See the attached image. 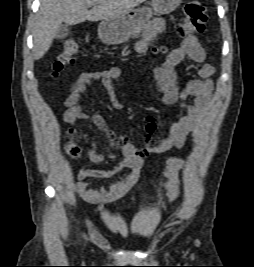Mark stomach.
Returning <instances> with one entry per match:
<instances>
[{
    "instance_id": "stomach-1",
    "label": "stomach",
    "mask_w": 254,
    "mask_h": 267,
    "mask_svg": "<svg viewBox=\"0 0 254 267\" xmlns=\"http://www.w3.org/2000/svg\"><path fill=\"white\" fill-rule=\"evenodd\" d=\"M182 0H152L150 7L143 6L115 17L103 20L98 26L101 41L118 44L127 41L139 28L147 23L154 13L164 15L173 12Z\"/></svg>"
}]
</instances>
